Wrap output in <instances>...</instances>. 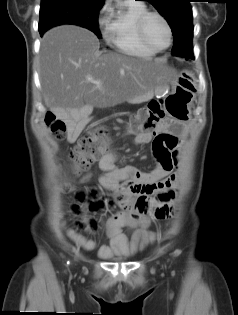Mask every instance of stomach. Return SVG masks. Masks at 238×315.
<instances>
[{
	"instance_id": "1",
	"label": "stomach",
	"mask_w": 238,
	"mask_h": 315,
	"mask_svg": "<svg viewBox=\"0 0 238 315\" xmlns=\"http://www.w3.org/2000/svg\"><path fill=\"white\" fill-rule=\"evenodd\" d=\"M174 91L166 96L164 109L174 122H190L193 116L192 101L198 98V84H193L192 72H179Z\"/></svg>"
}]
</instances>
